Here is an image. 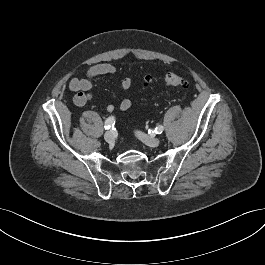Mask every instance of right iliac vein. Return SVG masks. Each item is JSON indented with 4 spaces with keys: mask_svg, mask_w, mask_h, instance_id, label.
Segmentation results:
<instances>
[{
    "mask_svg": "<svg viewBox=\"0 0 265 265\" xmlns=\"http://www.w3.org/2000/svg\"><path fill=\"white\" fill-rule=\"evenodd\" d=\"M104 139L107 143L113 144L115 142V135L112 131H107L104 135Z\"/></svg>",
    "mask_w": 265,
    "mask_h": 265,
    "instance_id": "obj_1",
    "label": "right iliac vein"
}]
</instances>
